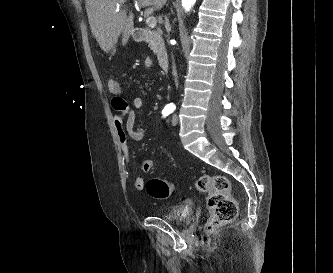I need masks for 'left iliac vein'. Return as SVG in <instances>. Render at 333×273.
Returning <instances> with one entry per match:
<instances>
[{
	"instance_id": "left-iliac-vein-1",
	"label": "left iliac vein",
	"mask_w": 333,
	"mask_h": 273,
	"mask_svg": "<svg viewBox=\"0 0 333 273\" xmlns=\"http://www.w3.org/2000/svg\"><path fill=\"white\" fill-rule=\"evenodd\" d=\"M171 123H172V125H174V126L178 124V118H177L176 115H173V116H172Z\"/></svg>"
}]
</instances>
